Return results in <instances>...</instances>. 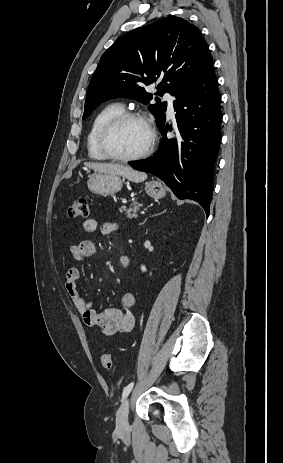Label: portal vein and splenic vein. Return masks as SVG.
I'll return each instance as SVG.
<instances>
[{"mask_svg": "<svg viewBox=\"0 0 283 463\" xmlns=\"http://www.w3.org/2000/svg\"><path fill=\"white\" fill-rule=\"evenodd\" d=\"M144 213H145L144 211L141 212V214H144Z\"/></svg>", "mask_w": 283, "mask_h": 463, "instance_id": "1", "label": "portal vein and splenic vein"}]
</instances>
